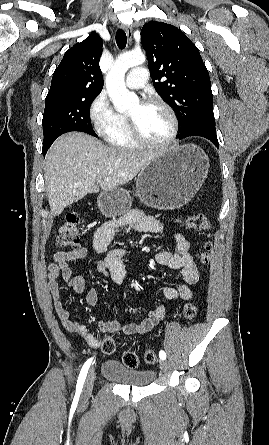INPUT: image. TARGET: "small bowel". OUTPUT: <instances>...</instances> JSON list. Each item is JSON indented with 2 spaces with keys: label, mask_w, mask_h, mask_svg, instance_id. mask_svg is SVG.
<instances>
[{
  "label": "small bowel",
  "mask_w": 269,
  "mask_h": 445,
  "mask_svg": "<svg viewBox=\"0 0 269 445\" xmlns=\"http://www.w3.org/2000/svg\"><path fill=\"white\" fill-rule=\"evenodd\" d=\"M126 228H131L139 232L160 233L163 230L162 223L152 216L144 214L140 210H132L127 215L103 223L95 232L93 247L96 253L105 254L96 265V271L106 278L120 285L126 277L124 258L126 250L114 248L107 251V247L112 239ZM174 251H160L156 254L155 260L159 265L178 270L184 283L178 287H165L162 290V300L159 305L152 309L145 319L140 322L125 321H100L98 328L104 333L123 332L126 335L144 334L161 322L166 313L165 302L182 300L188 301L192 298L191 286L199 281L200 275L194 259L189 251L190 244L181 232L174 233ZM87 255V248L80 247L73 252H57L53 262L48 266V289L53 298L55 311L63 325L70 333H79L92 348H99L101 341L91 334L86 326L79 321L72 320L65 308L60 296L58 279L66 282L76 295L84 291V279L81 276L73 275L71 262L78 261ZM99 299V292L91 289L86 295V302L89 306H95Z\"/></svg>",
  "instance_id": "obj_1"
}]
</instances>
